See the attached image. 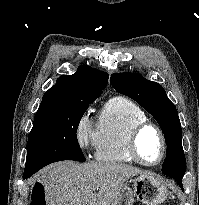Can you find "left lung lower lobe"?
<instances>
[{"instance_id":"0a47b994","label":"left lung lower lobe","mask_w":199,"mask_h":205,"mask_svg":"<svg viewBox=\"0 0 199 205\" xmlns=\"http://www.w3.org/2000/svg\"><path fill=\"white\" fill-rule=\"evenodd\" d=\"M179 184V186L183 189V185L181 184V183H178Z\"/></svg>"}]
</instances>
